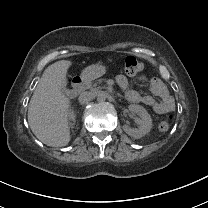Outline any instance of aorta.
Returning <instances> with one entry per match:
<instances>
[{
  "instance_id": "762f6f07",
  "label": "aorta",
  "mask_w": 208,
  "mask_h": 208,
  "mask_svg": "<svg viewBox=\"0 0 208 208\" xmlns=\"http://www.w3.org/2000/svg\"><path fill=\"white\" fill-rule=\"evenodd\" d=\"M97 101H98L99 103H104V102L106 101V96H105L104 94H99V95L97 96Z\"/></svg>"
}]
</instances>
